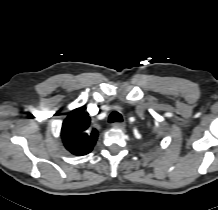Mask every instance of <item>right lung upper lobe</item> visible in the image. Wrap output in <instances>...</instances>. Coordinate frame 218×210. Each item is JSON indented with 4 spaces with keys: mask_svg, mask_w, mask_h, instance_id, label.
<instances>
[{
    "mask_svg": "<svg viewBox=\"0 0 218 210\" xmlns=\"http://www.w3.org/2000/svg\"><path fill=\"white\" fill-rule=\"evenodd\" d=\"M90 117L83 108L73 110L64 120L61 137L68 151L74 155H86L93 149L98 132L90 128Z\"/></svg>",
    "mask_w": 218,
    "mask_h": 210,
    "instance_id": "cb5924a9",
    "label": "right lung upper lobe"
}]
</instances>
